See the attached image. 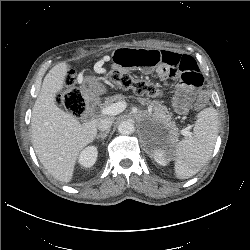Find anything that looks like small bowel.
<instances>
[{"label":"small bowel","instance_id":"c3829d8e","mask_svg":"<svg viewBox=\"0 0 250 250\" xmlns=\"http://www.w3.org/2000/svg\"><path fill=\"white\" fill-rule=\"evenodd\" d=\"M116 68L140 71L144 74L155 72L161 79L177 82L178 93L173 100L176 112L185 114L195 92L203 84L198 65L191 56L174 51L119 48L112 55Z\"/></svg>","mask_w":250,"mask_h":250}]
</instances>
